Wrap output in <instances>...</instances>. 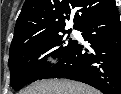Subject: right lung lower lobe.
I'll return each instance as SVG.
<instances>
[{"mask_svg":"<svg viewBox=\"0 0 121 94\" xmlns=\"http://www.w3.org/2000/svg\"><path fill=\"white\" fill-rule=\"evenodd\" d=\"M77 30L90 44L91 52L82 53L83 46L76 41L39 80L63 76L89 84L104 94H121V23L116 3L85 19Z\"/></svg>","mask_w":121,"mask_h":94,"instance_id":"right-lung-lower-lobe-1","label":"right lung lower lobe"}]
</instances>
